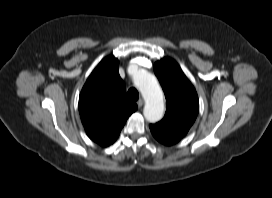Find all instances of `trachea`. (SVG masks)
Masks as SVG:
<instances>
[{
	"mask_svg": "<svg viewBox=\"0 0 272 198\" xmlns=\"http://www.w3.org/2000/svg\"><path fill=\"white\" fill-rule=\"evenodd\" d=\"M128 97L133 100V101H137L139 98V93L136 90V88L132 87L128 90Z\"/></svg>",
	"mask_w": 272,
	"mask_h": 198,
	"instance_id": "trachea-1",
	"label": "trachea"
}]
</instances>
